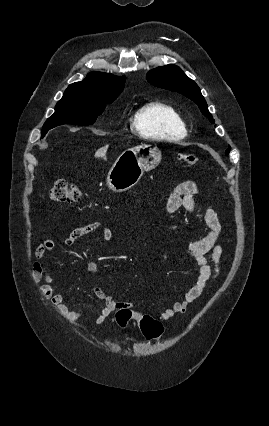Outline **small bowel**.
<instances>
[{"instance_id": "c3829d8e", "label": "small bowel", "mask_w": 269, "mask_h": 426, "mask_svg": "<svg viewBox=\"0 0 269 426\" xmlns=\"http://www.w3.org/2000/svg\"><path fill=\"white\" fill-rule=\"evenodd\" d=\"M197 194L198 188L194 182H182L168 196L166 205L167 212L173 215L180 209H185L189 213H195L197 210ZM199 219L210 231L207 236L190 241L185 248L186 254L191 257L198 266L197 274L190 283L184 297L174 302L170 307L157 315V318L162 322L170 320L177 314L185 313L188 306L196 301L209 283L219 275L222 247L217 244V240L222 232V223L217 213L212 209L201 211L199 213ZM98 229L102 231V239L104 241H110L112 239L113 234L108 227L103 226L100 222H92L88 225L73 229L64 239V245L72 246L81 237ZM54 248L55 243L50 239L45 240L36 248L35 259L32 265L33 279L36 283L44 282V284L40 286L41 293L61 314L66 315L68 313V307L72 305V300L54 291V280L44 265L45 255L52 252ZM209 253L210 260L206 256ZM98 269L97 263L93 261L87 264V270L91 274H96ZM94 293L104 303L101 311L94 317V321L97 324L104 323L107 318L119 308L133 306L131 302L114 300L107 292L98 286L94 287ZM142 316L143 314L134 312L133 320L139 322Z\"/></svg>"}]
</instances>
